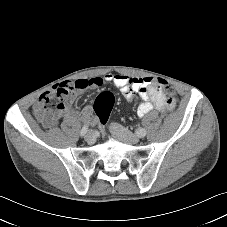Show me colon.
Here are the masks:
<instances>
[{
    "label": "colon",
    "instance_id": "obj_1",
    "mask_svg": "<svg viewBox=\"0 0 227 227\" xmlns=\"http://www.w3.org/2000/svg\"><path fill=\"white\" fill-rule=\"evenodd\" d=\"M160 85L166 94L171 95L173 93L171 86L168 85L165 81H160ZM113 105L114 96L112 93L103 91L97 96L94 104V109L97 118L101 123L104 124L107 121Z\"/></svg>",
    "mask_w": 227,
    "mask_h": 227
}]
</instances>
